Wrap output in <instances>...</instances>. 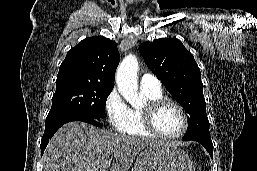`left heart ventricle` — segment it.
<instances>
[{
	"mask_svg": "<svg viewBox=\"0 0 257 171\" xmlns=\"http://www.w3.org/2000/svg\"><path fill=\"white\" fill-rule=\"evenodd\" d=\"M155 125L161 133L174 135L181 131L183 119L177 108L167 104L157 111L155 115Z\"/></svg>",
	"mask_w": 257,
	"mask_h": 171,
	"instance_id": "b2bd125f",
	"label": "left heart ventricle"
}]
</instances>
